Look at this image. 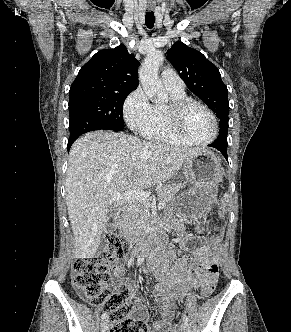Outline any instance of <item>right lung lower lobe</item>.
<instances>
[{"label": "right lung lower lobe", "mask_w": 291, "mask_h": 332, "mask_svg": "<svg viewBox=\"0 0 291 332\" xmlns=\"http://www.w3.org/2000/svg\"><path fill=\"white\" fill-rule=\"evenodd\" d=\"M101 129H104V125L99 118L88 115L84 112H79L75 118L70 119V138L67 145L68 151L77 137L86 132Z\"/></svg>", "instance_id": "obj_1"}]
</instances>
